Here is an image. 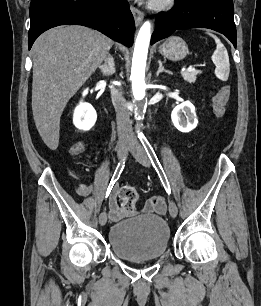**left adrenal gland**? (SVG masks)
Returning a JSON list of instances; mask_svg holds the SVG:
<instances>
[{
  "label": "left adrenal gland",
  "mask_w": 261,
  "mask_h": 306,
  "mask_svg": "<svg viewBox=\"0 0 261 306\" xmlns=\"http://www.w3.org/2000/svg\"><path fill=\"white\" fill-rule=\"evenodd\" d=\"M158 64H159V68L157 70L156 76H159V74L162 73V72L171 74V72L169 70L164 69L162 61L159 60Z\"/></svg>",
  "instance_id": "1"
}]
</instances>
